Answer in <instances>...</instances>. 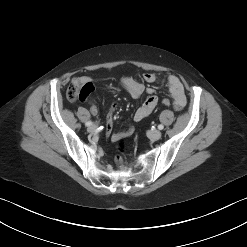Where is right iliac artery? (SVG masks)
<instances>
[{
	"label": "right iliac artery",
	"instance_id": "right-iliac-artery-1",
	"mask_svg": "<svg viewBox=\"0 0 247 247\" xmlns=\"http://www.w3.org/2000/svg\"><path fill=\"white\" fill-rule=\"evenodd\" d=\"M92 124H93V122H91V121H88V122L85 123V125H86L87 127L91 126Z\"/></svg>",
	"mask_w": 247,
	"mask_h": 247
}]
</instances>
